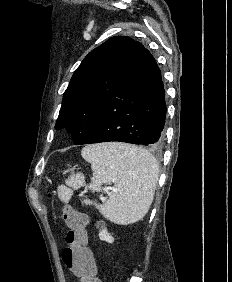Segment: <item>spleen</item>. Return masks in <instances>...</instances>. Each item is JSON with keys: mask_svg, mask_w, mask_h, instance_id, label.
Listing matches in <instances>:
<instances>
[{"mask_svg": "<svg viewBox=\"0 0 232 282\" xmlns=\"http://www.w3.org/2000/svg\"><path fill=\"white\" fill-rule=\"evenodd\" d=\"M82 157L93 171L90 189L100 191L101 185L114 182L107 201L98 205L100 213L117 224H131L141 220L153 201L159 176V166L147 150L121 143L89 145L82 149ZM66 185L58 187V197L68 203L73 189L85 185L84 177L72 175ZM85 204H92L88 199Z\"/></svg>", "mask_w": 232, "mask_h": 282, "instance_id": "spleen-1", "label": "spleen"}]
</instances>
